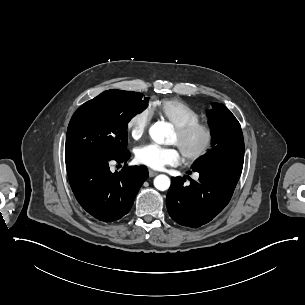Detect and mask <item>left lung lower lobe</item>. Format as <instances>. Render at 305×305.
Here are the masks:
<instances>
[{"label":"left lung lower lobe","instance_id":"0a47b994","mask_svg":"<svg viewBox=\"0 0 305 305\" xmlns=\"http://www.w3.org/2000/svg\"><path fill=\"white\" fill-rule=\"evenodd\" d=\"M242 168L233 164L194 166L193 171L200 176L198 181L191 180L189 186L183 183L185 177L171 178L166 198L171 218L191 228L210 222L229 203Z\"/></svg>","mask_w":305,"mask_h":305}]
</instances>
